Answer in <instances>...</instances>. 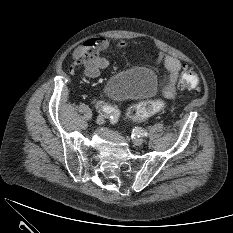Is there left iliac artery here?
I'll list each match as a JSON object with an SVG mask.
<instances>
[{"label": "left iliac artery", "mask_w": 233, "mask_h": 233, "mask_svg": "<svg viewBox=\"0 0 233 233\" xmlns=\"http://www.w3.org/2000/svg\"><path fill=\"white\" fill-rule=\"evenodd\" d=\"M135 132L137 134L141 135V136H144V137L148 135V133L145 130L141 129V128H136Z\"/></svg>", "instance_id": "obj_1"}]
</instances>
